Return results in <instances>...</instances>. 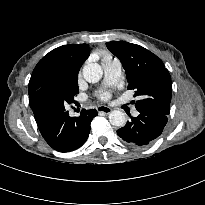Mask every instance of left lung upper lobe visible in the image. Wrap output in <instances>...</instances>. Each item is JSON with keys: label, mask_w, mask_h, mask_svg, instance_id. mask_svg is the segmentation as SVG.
Returning a JSON list of instances; mask_svg holds the SVG:
<instances>
[{"label": "left lung upper lobe", "mask_w": 205, "mask_h": 205, "mask_svg": "<svg viewBox=\"0 0 205 205\" xmlns=\"http://www.w3.org/2000/svg\"><path fill=\"white\" fill-rule=\"evenodd\" d=\"M107 48L121 61L129 83L128 89L142 99L136 109H147L168 115L170 113L172 83L163 62L140 45L125 41H111Z\"/></svg>", "instance_id": "5c2ea615"}]
</instances>
